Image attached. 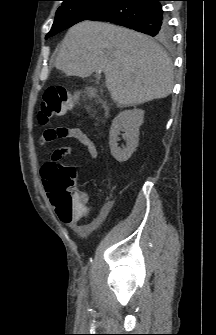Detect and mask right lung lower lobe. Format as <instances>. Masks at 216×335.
Returning a JSON list of instances; mask_svg holds the SVG:
<instances>
[{"label": "right lung lower lobe", "mask_w": 216, "mask_h": 335, "mask_svg": "<svg viewBox=\"0 0 216 335\" xmlns=\"http://www.w3.org/2000/svg\"><path fill=\"white\" fill-rule=\"evenodd\" d=\"M161 1L116 0L89 20L115 23L156 37L168 28Z\"/></svg>", "instance_id": "obj_1"}]
</instances>
